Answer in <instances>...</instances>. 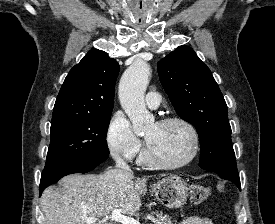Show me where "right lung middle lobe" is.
<instances>
[{
	"label": "right lung middle lobe",
	"instance_id": "dd1d6c3e",
	"mask_svg": "<svg viewBox=\"0 0 275 224\" xmlns=\"http://www.w3.org/2000/svg\"><path fill=\"white\" fill-rule=\"evenodd\" d=\"M111 113L53 117L44 171L109 154L106 135Z\"/></svg>",
	"mask_w": 275,
	"mask_h": 224
}]
</instances>
